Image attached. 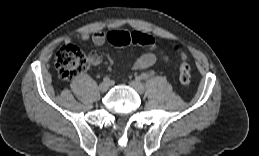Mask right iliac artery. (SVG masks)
<instances>
[{"label": "right iliac artery", "instance_id": "1", "mask_svg": "<svg viewBox=\"0 0 259 156\" xmlns=\"http://www.w3.org/2000/svg\"><path fill=\"white\" fill-rule=\"evenodd\" d=\"M103 81H104V82H109V81H110V78H109V77H105V78L103 79Z\"/></svg>", "mask_w": 259, "mask_h": 156}]
</instances>
